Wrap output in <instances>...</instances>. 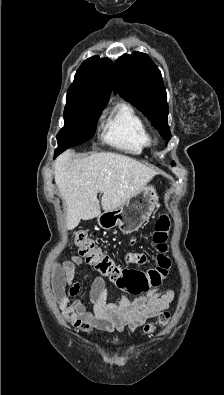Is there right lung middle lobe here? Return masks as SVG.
<instances>
[{"label": "right lung middle lobe", "mask_w": 224, "mask_h": 395, "mask_svg": "<svg viewBox=\"0 0 224 395\" xmlns=\"http://www.w3.org/2000/svg\"><path fill=\"white\" fill-rule=\"evenodd\" d=\"M106 105L92 98L67 93L65 125L57 135L58 148H69L89 140Z\"/></svg>", "instance_id": "dd1d6c3e"}]
</instances>
